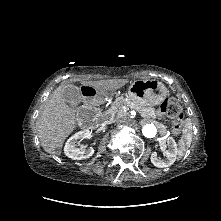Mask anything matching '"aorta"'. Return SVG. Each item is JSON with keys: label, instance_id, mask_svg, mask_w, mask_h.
<instances>
[{"label": "aorta", "instance_id": "1", "mask_svg": "<svg viewBox=\"0 0 221 221\" xmlns=\"http://www.w3.org/2000/svg\"><path fill=\"white\" fill-rule=\"evenodd\" d=\"M142 133L147 138H153L157 134V128L154 124H146L142 128Z\"/></svg>", "mask_w": 221, "mask_h": 221}]
</instances>
